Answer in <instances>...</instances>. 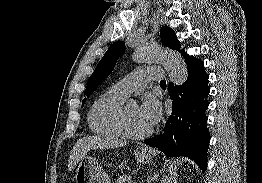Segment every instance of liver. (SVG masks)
<instances>
[{
    "label": "liver",
    "mask_w": 262,
    "mask_h": 183,
    "mask_svg": "<svg viewBox=\"0 0 262 183\" xmlns=\"http://www.w3.org/2000/svg\"><path fill=\"white\" fill-rule=\"evenodd\" d=\"M126 145V141L109 136H87L79 139L69 156L68 169L73 170L86 156L87 152L95 149L117 148Z\"/></svg>",
    "instance_id": "liver-1"
}]
</instances>
